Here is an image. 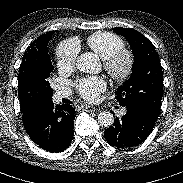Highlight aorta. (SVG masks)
I'll use <instances>...</instances> for the list:
<instances>
[{"instance_id": "aorta-1", "label": "aorta", "mask_w": 183, "mask_h": 183, "mask_svg": "<svg viewBox=\"0 0 183 183\" xmlns=\"http://www.w3.org/2000/svg\"><path fill=\"white\" fill-rule=\"evenodd\" d=\"M76 68L83 73H98L101 70L97 56L91 52L83 53L77 58ZM98 122L108 128L113 125L114 116L109 111H103L98 115Z\"/></svg>"}]
</instances>
